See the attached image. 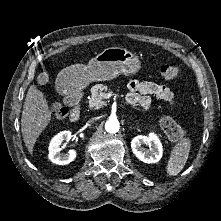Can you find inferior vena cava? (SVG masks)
I'll return each mask as SVG.
<instances>
[{"label":"inferior vena cava","instance_id":"obj_1","mask_svg":"<svg viewBox=\"0 0 221 221\" xmlns=\"http://www.w3.org/2000/svg\"><path fill=\"white\" fill-rule=\"evenodd\" d=\"M94 120H95V119L92 118V119H90L88 122H89V123H92V122H94Z\"/></svg>","mask_w":221,"mask_h":221}]
</instances>
